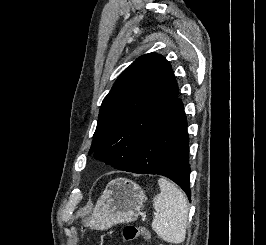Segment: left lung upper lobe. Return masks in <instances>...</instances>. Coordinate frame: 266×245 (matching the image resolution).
<instances>
[{"label": "left lung upper lobe", "instance_id": "5c2ea615", "mask_svg": "<svg viewBox=\"0 0 266 245\" xmlns=\"http://www.w3.org/2000/svg\"><path fill=\"white\" fill-rule=\"evenodd\" d=\"M177 97L170 63L156 53L139 57L103 100L89 154L125 170L143 135Z\"/></svg>", "mask_w": 266, "mask_h": 245}]
</instances>
